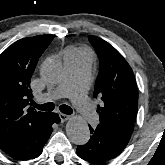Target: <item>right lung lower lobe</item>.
<instances>
[{"instance_id":"98d812e1","label":"right lung lower lobe","mask_w":165,"mask_h":165,"mask_svg":"<svg viewBox=\"0 0 165 165\" xmlns=\"http://www.w3.org/2000/svg\"><path fill=\"white\" fill-rule=\"evenodd\" d=\"M56 113H48L38 123L15 133L0 149L17 160H29L38 157L52 132V124L59 123Z\"/></svg>"}]
</instances>
